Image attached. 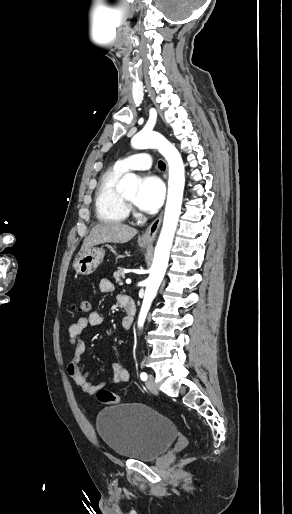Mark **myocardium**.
Returning <instances> with one entry per match:
<instances>
[{"instance_id":"1","label":"myocardium","mask_w":292,"mask_h":514,"mask_svg":"<svg viewBox=\"0 0 292 514\" xmlns=\"http://www.w3.org/2000/svg\"><path fill=\"white\" fill-rule=\"evenodd\" d=\"M118 199L127 212H135V205L129 201L121 192H118Z\"/></svg>"}]
</instances>
